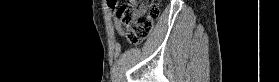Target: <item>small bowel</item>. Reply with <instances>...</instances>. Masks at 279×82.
I'll list each match as a JSON object with an SVG mask.
<instances>
[{
  "label": "small bowel",
  "instance_id": "obj_1",
  "mask_svg": "<svg viewBox=\"0 0 279 82\" xmlns=\"http://www.w3.org/2000/svg\"><path fill=\"white\" fill-rule=\"evenodd\" d=\"M108 7L114 11L118 5V2L117 1H108ZM113 21H114V26H115V30L117 32V34L120 36V37H123L125 35V30L124 28L121 26V24L119 23L118 19L116 18V16L113 17Z\"/></svg>",
  "mask_w": 279,
  "mask_h": 82
}]
</instances>
